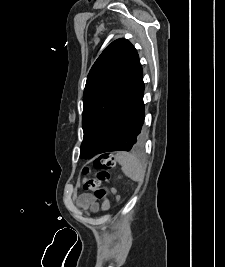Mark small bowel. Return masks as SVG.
I'll return each mask as SVG.
<instances>
[{"label": "small bowel", "mask_w": 225, "mask_h": 267, "mask_svg": "<svg viewBox=\"0 0 225 267\" xmlns=\"http://www.w3.org/2000/svg\"><path fill=\"white\" fill-rule=\"evenodd\" d=\"M77 205L83 209L95 211L97 209L96 198L92 192H84L78 195Z\"/></svg>", "instance_id": "1"}]
</instances>
